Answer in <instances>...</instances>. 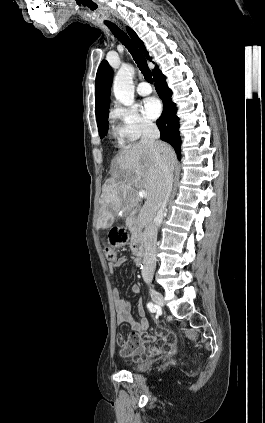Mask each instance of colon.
Wrapping results in <instances>:
<instances>
[{
    "mask_svg": "<svg viewBox=\"0 0 265 423\" xmlns=\"http://www.w3.org/2000/svg\"><path fill=\"white\" fill-rule=\"evenodd\" d=\"M129 240L128 233L123 229H112L109 234V246L105 248V255L107 260L114 261L117 257L116 248L126 245Z\"/></svg>",
    "mask_w": 265,
    "mask_h": 423,
    "instance_id": "1",
    "label": "colon"
}]
</instances>
